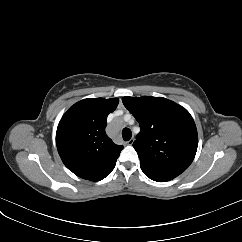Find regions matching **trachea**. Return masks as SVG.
I'll return each mask as SVG.
<instances>
[{
	"label": "trachea",
	"instance_id": "obj_1",
	"mask_svg": "<svg viewBox=\"0 0 242 242\" xmlns=\"http://www.w3.org/2000/svg\"><path fill=\"white\" fill-rule=\"evenodd\" d=\"M122 137L124 139V141H129L132 137V132L129 128H124L122 130Z\"/></svg>",
	"mask_w": 242,
	"mask_h": 242
}]
</instances>
